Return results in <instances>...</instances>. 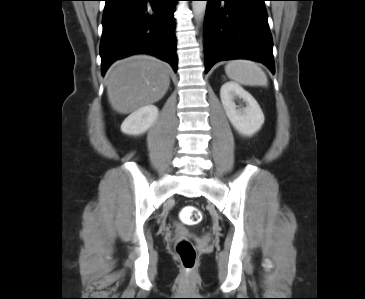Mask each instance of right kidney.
Returning a JSON list of instances; mask_svg holds the SVG:
<instances>
[{
	"instance_id": "right-kidney-1",
	"label": "right kidney",
	"mask_w": 365,
	"mask_h": 299,
	"mask_svg": "<svg viewBox=\"0 0 365 299\" xmlns=\"http://www.w3.org/2000/svg\"><path fill=\"white\" fill-rule=\"evenodd\" d=\"M158 115V108L156 106H143L124 120L121 125V131L127 135H141L156 122Z\"/></svg>"
}]
</instances>
